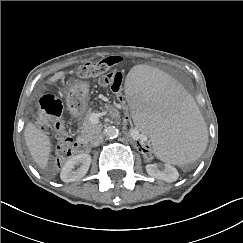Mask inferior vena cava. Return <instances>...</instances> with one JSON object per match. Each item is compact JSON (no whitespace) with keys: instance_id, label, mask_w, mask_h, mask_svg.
Returning a JSON list of instances; mask_svg holds the SVG:
<instances>
[{"instance_id":"obj_1","label":"inferior vena cava","mask_w":243,"mask_h":243,"mask_svg":"<svg viewBox=\"0 0 243 243\" xmlns=\"http://www.w3.org/2000/svg\"><path fill=\"white\" fill-rule=\"evenodd\" d=\"M102 140H103L102 135L101 134H98V135H96L93 138L91 144H92L93 147H97V146L100 145V143L102 142Z\"/></svg>"}]
</instances>
